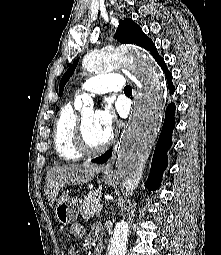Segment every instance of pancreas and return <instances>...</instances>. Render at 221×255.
<instances>
[{"label":"pancreas","mask_w":221,"mask_h":255,"mask_svg":"<svg viewBox=\"0 0 221 255\" xmlns=\"http://www.w3.org/2000/svg\"><path fill=\"white\" fill-rule=\"evenodd\" d=\"M101 197L102 192L99 190H92L84 197L81 205V216L84 220L94 216L96 205L99 204Z\"/></svg>","instance_id":"pancreas-1"}]
</instances>
